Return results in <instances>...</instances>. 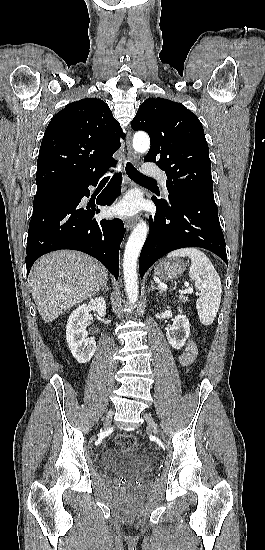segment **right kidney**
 Masks as SVG:
<instances>
[{
	"instance_id": "obj_1",
	"label": "right kidney",
	"mask_w": 265,
	"mask_h": 550,
	"mask_svg": "<svg viewBox=\"0 0 265 550\" xmlns=\"http://www.w3.org/2000/svg\"><path fill=\"white\" fill-rule=\"evenodd\" d=\"M100 316L106 314V302L103 297L91 299L88 304L79 305L69 316L66 326V340L73 357L80 364L91 360L96 350V341L88 338L86 323L89 312Z\"/></svg>"
}]
</instances>
